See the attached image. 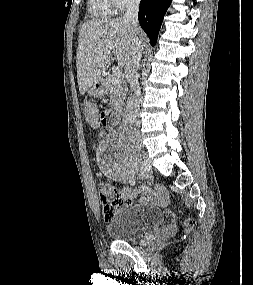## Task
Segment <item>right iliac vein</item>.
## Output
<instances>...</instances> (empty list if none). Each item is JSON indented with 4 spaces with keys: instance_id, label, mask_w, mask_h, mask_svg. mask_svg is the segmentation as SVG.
<instances>
[{
    "instance_id": "right-iliac-vein-1",
    "label": "right iliac vein",
    "mask_w": 253,
    "mask_h": 285,
    "mask_svg": "<svg viewBox=\"0 0 253 285\" xmlns=\"http://www.w3.org/2000/svg\"><path fill=\"white\" fill-rule=\"evenodd\" d=\"M151 169L152 167L150 162L147 159H144L141 163V168H140L141 176L143 178H147L151 172Z\"/></svg>"
}]
</instances>
